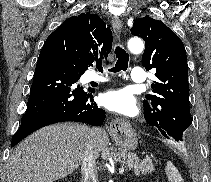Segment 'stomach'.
I'll return each mask as SVG.
<instances>
[{
  "instance_id": "obj_1",
  "label": "stomach",
  "mask_w": 211,
  "mask_h": 182,
  "mask_svg": "<svg viewBox=\"0 0 211 182\" xmlns=\"http://www.w3.org/2000/svg\"><path fill=\"white\" fill-rule=\"evenodd\" d=\"M115 144L124 150H134L137 147L138 139L136 134L127 128H120L112 131Z\"/></svg>"
}]
</instances>
